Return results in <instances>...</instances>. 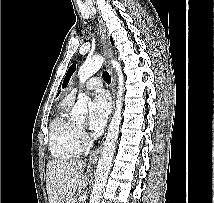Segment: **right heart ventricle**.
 Instances as JSON below:
<instances>
[{"instance_id":"e07e8e85","label":"right heart ventricle","mask_w":214,"mask_h":203,"mask_svg":"<svg viewBox=\"0 0 214 203\" xmlns=\"http://www.w3.org/2000/svg\"><path fill=\"white\" fill-rule=\"evenodd\" d=\"M73 98L67 96L62 103L61 112L50 125L49 151L57 161H68L78 157L83 151L78 125L67 117Z\"/></svg>"}]
</instances>
